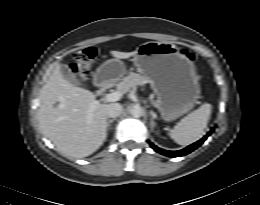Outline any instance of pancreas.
I'll return each instance as SVG.
<instances>
[{"mask_svg": "<svg viewBox=\"0 0 260 205\" xmlns=\"http://www.w3.org/2000/svg\"><path fill=\"white\" fill-rule=\"evenodd\" d=\"M146 81L143 75L131 72L128 76L124 77L121 82L117 83L116 89L118 92L125 94L131 88L145 84ZM154 104L157 106L156 102H154Z\"/></svg>", "mask_w": 260, "mask_h": 205, "instance_id": "cf45deb5", "label": "pancreas"}]
</instances>
